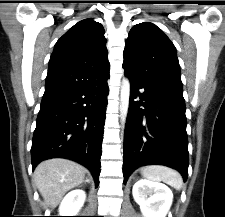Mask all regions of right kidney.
Wrapping results in <instances>:
<instances>
[{
    "label": "right kidney",
    "instance_id": "ca27d5eb",
    "mask_svg": "<svg viewBox=\"0 0 225 217\" xmlns=\"http://www.w3.org/2000/svg\"><path fill=\"white\" fill-rule=\"evenodd\" d=\"M86 199V194L81 189L69 192L62 200L59 207L60 216H76L82 208Z\"/></svg>",
    "mask_w": 225,
    "mask_h": 217
}]
</instances>
